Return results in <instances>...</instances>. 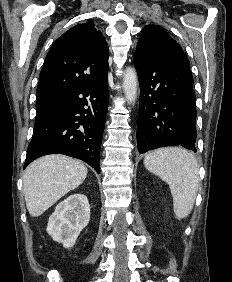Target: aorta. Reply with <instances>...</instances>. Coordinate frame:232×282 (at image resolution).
Returning <instances> with one entry per match:
<instances>
[{"instance_id":"762f6f07","label":"aorta","mask_w":232,"mask_h":282,"mask_svg":"<svg viewBox=\"0 0 232 282\" xmlns=\"http://www.w3.org/2000/svg\"><path fill=\"white\" fill-rule=\"evenodd\" d=\"M123 89L128 102H135L137 97V74L136 71L128 67L123 77Z\"/></svg>"}]
</instances>
